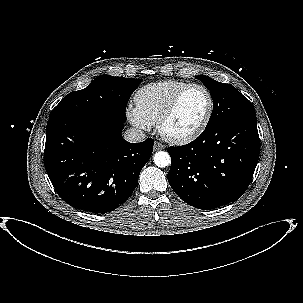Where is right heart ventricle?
<instances>
[{"label": "right heart ventricle", "instance_id": "obj_1", "mask_svg": "<svg viewBox=\"0 0 303 303\" xmlns=\"http://www.w3.org/2000/svg\"><path fill=\"white\" fill-rule=\"evenodd\" d=\"M188 84L180 80H167L145 85L135 94L136 108L151 124H155L174 96Z\"/></svg>", "mask_w": 303, "mask_h": 303}]
</instances>
